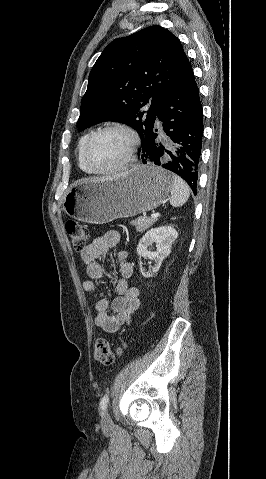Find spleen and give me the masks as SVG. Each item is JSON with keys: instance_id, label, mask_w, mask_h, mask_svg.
<instances>
[{"instance_id": "1", "label": "spleen", "mask_w": 266, "mask_h": 479, "mask_svg": "<svg viewBox=\"0 0 266 479\" xmlns=\"http://www.w3.org/2000/svg\"><path fill=\"white\" fill-rule=\"evenodd\" d=\"M190 191L188 185L177 175H173L171 185L170 204L173 207H180L188 200Z\"/></svg>"}]
</instances>
